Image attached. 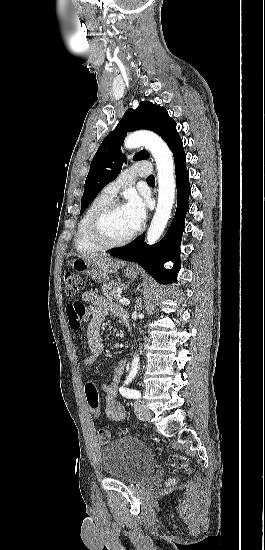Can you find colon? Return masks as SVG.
Masks as SVG:
<instances>
[{"label": "colon", "mask_w": 265, "mask_h": 550, "mask_svg": "<svg viewBox=\"0 0 265 550\" xmlns=\"http://www.w3.org/2000/svg\"><path fill=\"white\" fill-rule=\"evenodd\" d=\"M65 291L68 296L78 295L85 286V281L82 276L74 272H66L64 274ZM80 306L79 314L76 318L69 321L71 328L77 327L80 324L79 319L84 311V304L80 301L76 302ZM85 401L90 411L99 416L101 413L100 397L97 386L93 382H87L84 387ZM98 438L101 444L105 445L110 441V432L107 429H100ZM169 462L172 466L189 471L188 461L185 457L171 454Z\"/></svg>", "instance_id": "colon-1"}]
</instances>
